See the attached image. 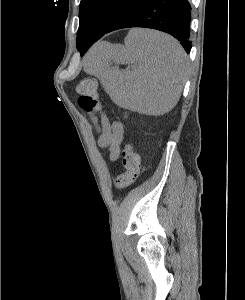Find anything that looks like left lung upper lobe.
<instances>
[{
    "label": "left lung upper lobe",
    "mask_w": 245,
    "mask_h": 300,
    "mask_svg": "<svg viewBox=\"0 0 245 300\" xmlns=\"http://www.w3.org/2000/svg\"><path fill=\"white\" fill-rule=\"evenodd\" d=\"M136 0H81L77 49L81 52L89 37L103 34L113 21Z\"/></svg>",
    "instance_id": "left-lung-upper-lobe-1"
}]
</instances>
